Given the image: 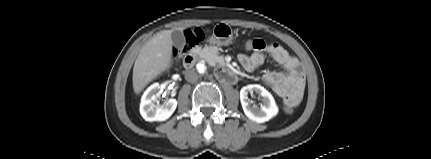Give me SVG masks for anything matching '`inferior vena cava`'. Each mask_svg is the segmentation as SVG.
Listing matches in <instances>:
<instances>
[{
  "instance_id": "1",
  "label": "inferior vena cava",
  "mask_w": 431,
  "mask_h": 159,
  "mask_svg": "<svg viewBox=\"0 0 431 159\" xmlns=\"http://www.w3.org/2000/svg\"><path fill=\"white\" fill-rule=\"evenodd\" d=\"M198 74L195 72V70H188L185 73V79L190 83H196L198 81Z\"/></svg>"
}]
</instances>
